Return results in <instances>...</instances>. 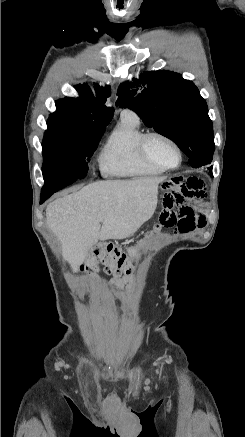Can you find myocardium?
Masks as SVG:
<instances>
[{
    "label": "myocardium",
    "mask_w": 245,
    "mask_h": 437,
    "mask_svg": "<svg viewBox=\"0 0 245 437\" xmlns=\"http://www.w3.org/2000/svg\"><path fill=\"white\" fill-rule=\"evenodd\" d=\"M153 138H160V139L168 142L169 144H171L175 148V150L178 153V162L176 165H174V166L164 165V164L160 163L159 161H157L156 159H154L150 155V153L148 151V143ZM139 151H140L141 156L148 163H150L156 167H159L163 170H174L181 165L182 160H183V153H182V150H181L180 146L178 145V143L170 136H168L162 132H159V131H152V132L145 133L139 141Z\"/></svg>",
    "instance_id": "1"
}]
</instances>
